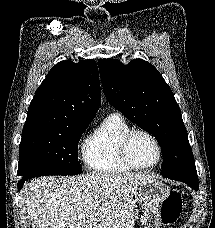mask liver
I'll list each match as a JSON object with an SVG mask.
<instances>
[{
	"instance_id": "6515ba94",
	"label": "liver",
	"mask_w": 215,
	"mask_h": 228,
	"mask_svg": "<svg viewBox=\"0 0 215 228\" xmlns=\"http://www.w3.org/2000/svg\"><path fill=\"white\" fill-rule=\"evenodd\" d=\"M146 174L46 176L21 190L35 228H132L136 184Z\"/></svg>"
}]
</instances>
